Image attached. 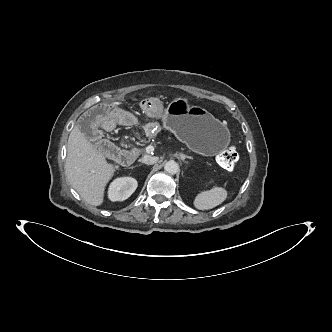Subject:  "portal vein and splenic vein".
<instances>
[{
    "label": "portal vein and splenic vein",
    "mask_w": 332,
    "mask_h": 332,
    "mask_svg": "<svg viewBox=\"0 0 332 332\" xmlns=\"http://www.w3.org/2000/svg\"><path fill=\"white\" fill-rule=\"evenodd\" d=\"M146 151L147 152H152V151H154V147L149 145V146L146 147Z\"/></svg>",
    "instance_id": "1"
}]
</instances>
